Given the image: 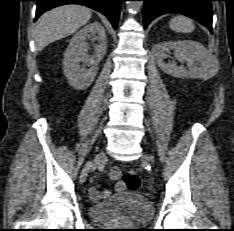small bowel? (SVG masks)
Instances as JSON below:
<instances>
[{"label": "small bowel", "mask_w": 234, "mask_h": 231, "mask_svg": "<svg viewBox=\"0 0 234 231\" xmlns=\"http://www.w3.org/2000/svg\"><path fill=\"white\" fill-rule=\"evenodd\" d=\"M114 190L116 192H124L125 191V184L123 182H117L115 184ZM89 194L92 200L98 201L102 198H107L112 194V190L106 189L102 193H100L96 188L91 187L89 189Z\"/></svg>", "instance_id": "small-bowel-1"}]
</instances>
